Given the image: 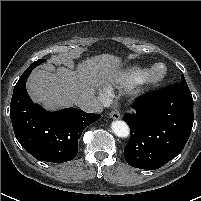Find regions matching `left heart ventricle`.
Here are the masks:
<instances>
[{
  "instance_id": "b2bd125f",
  "label": "left heart ventricle",
  "mask_w": 201,
  "mask_h": 201,
  "mask_svg": "<svg viewBox=\"0 0 201 201\" xmlns=\"http://www.w3.org/2000/svg\"><path fill=\"white\" fill-rule=\"evenodd\" d=\"M161 72H162V67H157V68L154 70V75H159Z\"/></svg>"
}]
</instances>
